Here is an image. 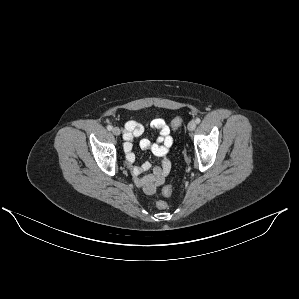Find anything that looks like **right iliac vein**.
Returning a JSON list of instances; mask_svg holds the SVG:
<instances>
[{
    "mask_svg": "<svg viewBox=\"0 0 299 299\" xmlns=\"http://www.w3.org/2000/svg\"><path fill=\"white\" fill-rule=\"evenodd\" d=\"M112 133H113L114 135H116V136H119L120 133H121V131H120V129H119L118 127H114V128L112 129Z\"/></svg>",
    "mask_w": 299,
    "mask_h": 299,
    "instance_id": "63e3f726",
    "label": "right iliac vein"
}]
</instances>
